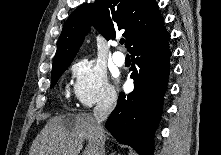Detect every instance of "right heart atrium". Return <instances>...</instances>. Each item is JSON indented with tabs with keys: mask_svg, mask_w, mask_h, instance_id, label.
<instances>
[{
	"mask_svg": "<svg viewBox=\"0 0 221 155\" xmlns=\"http://www.w3.org/2000/svg\"><path fill=\"white\" fill-rule=\"evenodd\" d=\"M74 79V95L78 104L89 109L94 106H112L117 93L110 83L106 71L94 61L77 60L71 67Z\"/></svg>",
	"mask_w": 221,
	"mask_h": 155,
	"instance_id": "d8ad5b80",
	"label": "right heart atrium"
}]
</instances>
